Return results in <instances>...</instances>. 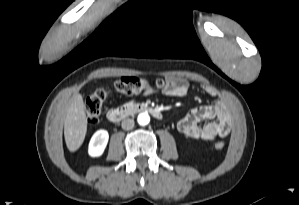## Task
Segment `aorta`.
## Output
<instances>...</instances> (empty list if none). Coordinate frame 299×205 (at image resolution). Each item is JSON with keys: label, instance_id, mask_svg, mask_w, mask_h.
Listing matches in <instances>:
<instances>
[{"label": "aorta", "instance_id": "762f6f07", "mask_svg": "<svg viewBox=\"0 0 299 205\" xmlns=\"http://www.w3.org/2000/svg\"><path fill=\"white\" fill-rule=\"evenodd\" d=\"M137 121L140 125L144 126L150 122V117L147 113H140L138 115Z\"/></svg>", "mask_w": 299, "mask_h": 205}]
</instances>
